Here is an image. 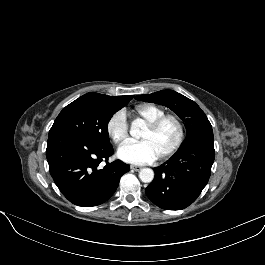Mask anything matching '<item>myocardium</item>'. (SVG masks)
<instances>
[{
    "label": "myocardium",
    "instance_id": "1",
    "mask_svg": "<svg viewBox=\"0 0 265 265\" xmlns=\"http://www.w3.org/2000/svg\"><path fill=\"white\" fill-rule=\"evenodd\" d=\"M169 119L173 120L177 124L179 134H178V138H177L176 142L169 149H167L165 152H163L161 155H159L158 156L159 159L168 158L169 156L173 155L175 152H177L180 149V147L182 146V144L184 143L185 138H186L185 124H184L183 120L178 115L167 113V114H164V115L158 117L157 119H155V120H153V121H151L145 125V128H147L148 130L155 131L165 121H167Z\"/></svg>",
    "mask_w": 265,
    "mask_h": 265
}]
</instances>
